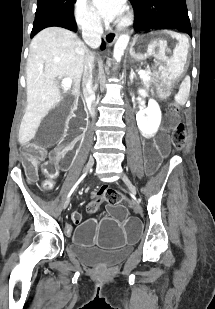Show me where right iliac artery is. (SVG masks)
<instances>
[{
  "label": "right iliac artery",
  "instance_id": "1",
  "mask_svg": "<svg viewBox=\"0 0 215 309\" xmlns=\"http://www.w3.org/2000/svg\"><path fill=\"white\" fill-rule=\"evenodd\" d=\"M86 176V174H83L79 179L78 181L74 184V186L71 188L70 192L68 193V196L67 198L69 199L71 194L74 192V190L76 189V187L78 186V184L83 180V178ZM68 202V201H66Z\"/></svg>",
  "mask_w": 215,
  "mask_h": 309
}]
</instances>
